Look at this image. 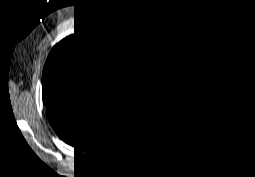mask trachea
Segmentation results:
<instances>
[{
	"label": "trachea",
	"mask_w": 255,
	"mask_h": 177,
	"mask_svg": "<svg viewBox=\"0 0 255 177\" xmlns=\"http://www.w3.org/2000/svg\"><path fill=\"white\" fill-rule=\"evenodd\" d=\"M111 96H115V93L114 92H111V94H110Z\"/></svg>",
	"instance_id": "1"
}]
</instances>
